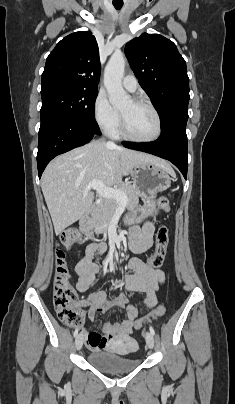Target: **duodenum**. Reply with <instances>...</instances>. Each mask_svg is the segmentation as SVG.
<instances>
[{"instance_id": "obj_1", "label": "duodenum", "mask_w": 235, "mask_h": 404, "mask_svg": "<svg viewBox=\"0 0 235 404\" xmlns=\"http://www.w3.org/2000/svg\"><path fill=\"white\" fill-rule=\"evenodd\" d=\"M91 222H92V214L89 213L87 215H85L81 221H80V227L82 229V231L86 234L90 233V226H91Z\"/></svg>"}]
</instances>
